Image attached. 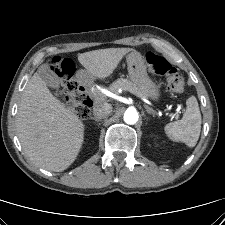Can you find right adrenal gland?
<instances>
[{"label":"right adrenal gland","mask_w":225,"mask_h":225,"mask_svg":"<svg viewBox=\"0 0 225 225\" xmlns=\"http://www.w3.org/2000/svg\"><path fill=\"white\" fill-rule=\"evenodd\" d=\"M90 119H92V120H94V121H96V122H100V121H101L100 119H98V118H96V117H90Z\"/></svg>","instance_id":"right-adrenal-gland-1"}]
</instances>
